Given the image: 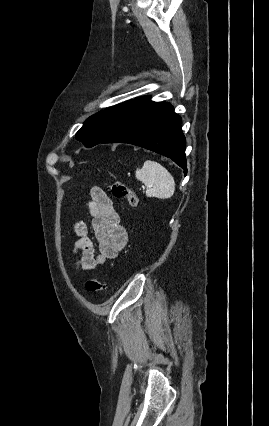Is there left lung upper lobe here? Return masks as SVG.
Instances as JSON below:
<instances>
[{"label": "left lung upper lobe", "instance_id": "left-lung-upper-lobe-1", "mask_svg": "<svg viewBox=\"0 0 269 426\" xmlns=\"http://www.w3.org/2000/svg\"><path fill=\"white\" fill-rule=\"evenodd\" d=\"M129 101L102 110L89 117L76 133L86 147L99 144L112 130Z\"/></svg>", "mask_w": 269, "mask_h": 426}]
</instances>
